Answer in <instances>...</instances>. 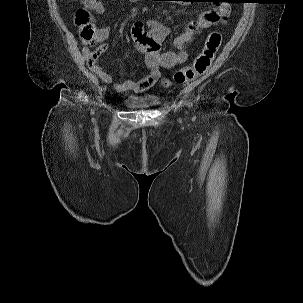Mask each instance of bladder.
I'll return each mask as SVG.
<instances>
[{"label":"bladder","mask_w":303,"mask_h":303,"mask_svg":"<svg viewBox=\"0 0 303 303\" xmlns=\"http://www.w3.org/2000/svg\"><path fill=\"white\" fill-rule=\"evenodd\" d=\"M160 98L154 95L130 94L124 99V105L129 110H145L157 106Z\"/></svg>","instance_id":"31cf9c89"}]
</instances>
